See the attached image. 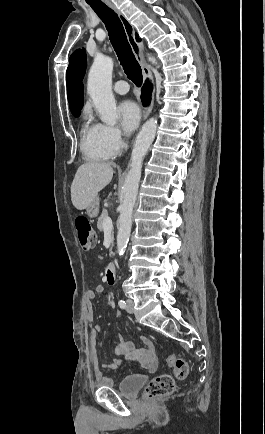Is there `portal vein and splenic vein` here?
<instances>
[{
	"mask_svg": "<svg viewBox=\"0 0 265 434\" xmlns=\"http://www.w3.org/2000/svg\"><path fill=\"white\" fill-rule=\"evenodd\" d=\"M103 226H104V230H112L113 224L111 218H108L107 216V218H105L104 220Z\"/></svg>",
	"mask_w": 265,
	"mask_h": 434,
	"instance_id": "1",
	"label": "portal vein and splenic vein"
}]
</instances>
